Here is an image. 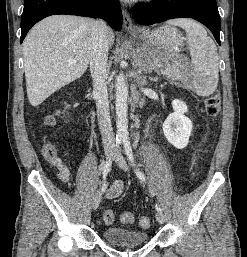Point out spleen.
Returning <instances> with one entry per match:
<instances>
[{"label":"spleen","instance_id":"obj_1","mask_svg":"<svg viewBox=\"0 0 247 257\" xmlns=\"http://www.w3.org/2000/svg\"><path fill=\"white\" fill-rule=\"evenodd\" d=\"M167 23L185 30L194 73V89L201 96L211 95L217 87L219 78L215 43L208 37L206 30L191 19H173Z\"/></svg>","mask_w":247,"mask_h":257}]
</instances>
